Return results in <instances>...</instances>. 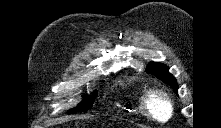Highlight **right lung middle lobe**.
<instances>
[{
	"instance_id": "dd1d6c3e",
	"label": "right lung middle lobe",
	"mask_w": 221,
	"mask_h": 128,
	"mask_svg": "<svg viewBox=\"0 0 221 128\" xmlns=\"http://www.w3.org/2000/svg\"><path fill=\"white\" fill-rule=\"evenodd\" d=\"M97 96L96 91L92 95H87L84 97L83 101L79 103L76 108L69 110L67 113H76V112H84L93 106L94 100Z\"/></svg>"
}]
</instances>
